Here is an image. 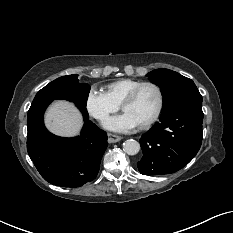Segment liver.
<instances>
[{
	"mask_svg": "<svg viewBox=\"0 0 233 233\" xmlns=\"http://www.w3.org/2000/svg\"><path fill=\"white\" fill-rule=\"evenodd\" d=\"M82 116L73 103L65 100L54 101L45 113L47 129L61 137H73L82 127Z\"/></svg>",
	"mask_w": 233,
	"mask_h": 233,
	"instance_id": "obj_1",
	"label": "liver"
}]
</instances>
